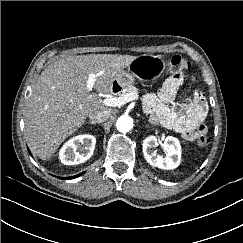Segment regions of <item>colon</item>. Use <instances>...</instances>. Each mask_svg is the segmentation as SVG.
Segmentation results:
<instances>
[{
	"label": "colon",
	"instance_id": "colon-1",
	"mask_svg": "<svg viewBox=\"0 0 243 243\" xmlns=\"http://www.w3.org/2000/svg\"><path fill=\"white\" fill-rule=\"evenodd\" d=\"M190 68V62L179 56H173L168 62V69L172 76L183 77ZM199 81V77L196 74H192L189 78L190 85H196ZM209 143V139L204 134L197 138V144L199 146H206Z\"/></svg>",
	"mask_w": 243,
	"mask_h": 243
}]
</instances>
